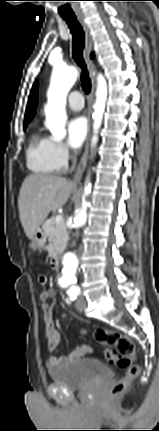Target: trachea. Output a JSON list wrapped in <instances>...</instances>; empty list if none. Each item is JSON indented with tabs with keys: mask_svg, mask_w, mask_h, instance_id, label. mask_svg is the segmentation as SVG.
<instances>
[{
	"mask_svg": "<svg viewBox=\"0 0 159 431\" xmlns=\"http://www.w3.org/2000/svg\"><path fill=\"white\" fill-rule=\"evenodd\" d=\"M68 24L70 32L73 36L72 55L78 66L81 67V82L82 88L86 94L91 91V80L87 71L86 64L83 59V48L85 46V33L82 26L77 21L76 17H63Z\"/></svg>",
	"mask_w": 159,
	"mask_h": 431,
	"instance_id": "trachea-1",
	"label": "trachea"
}]
</instances>
